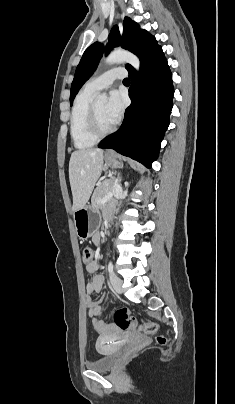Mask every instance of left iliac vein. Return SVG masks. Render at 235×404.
<instances>
[{
  "label": "left iliac vein",
  "mask_w": 235,
  "mask_h": 404,
  "mask_svg": "<svg viewBox=\"0 0 235 404\" xmlns=\"http://www.w3.org/2000/svg\"><path fill=\"white\" fill-rule=\"evenodd\" d=\"M110 282L111 285L113 287V289L117 292V293H121L122 292V280L120 277H118L117 275L110 274Z\"/></svg>",
  "instance_id": "1"
}]
</instances>
